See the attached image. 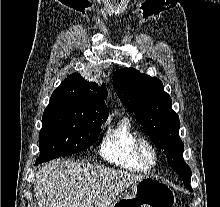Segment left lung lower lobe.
<instances>
[{"instance_id": "0a47b994", "label": "left lung lower lobe", "mask_w": 220, "mask_h": 207, "mask_svg": "<svg viewBox=\"0 0 220 207\" xmlns=\"http://www.w3.org/2000/svg\"><path fill=\"white\" fill-rule=\"evenodd\" d=\"M172 167V169L174 171H176L179 175H181V177L183 178V183L185 185V187L190 190L193 191L190 185V181H191V170L188 167L187 164L184 165H170Z\"/></svg>"}]
</instances>
